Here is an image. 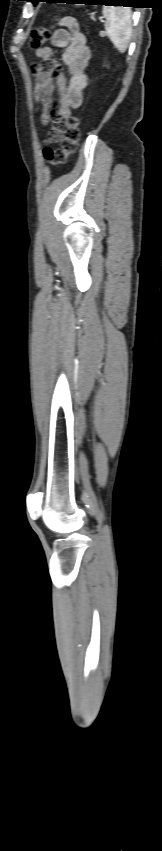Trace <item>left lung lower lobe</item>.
<instances>
[{"label":"left lung lower lobe","mask_w":162,"mask_h":851,"mask_svg":"<svg viewBox=\"0 0 162 851\" xmlns=\"http://www.w3.org/2000/svg\"><path fill=\"white\" fill-rule=\"evenodd\" d=\"M40 1L56 2V0H37V2H40ZM76 1H79V0H76ZM97 1L100 2V3H104V5H122V6H128L129 4H133L135 2L134 0H97ZM71 3H78V2H71Z\"/></svg>","instance_id":"obj_1"}]
</instances>
